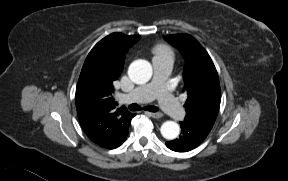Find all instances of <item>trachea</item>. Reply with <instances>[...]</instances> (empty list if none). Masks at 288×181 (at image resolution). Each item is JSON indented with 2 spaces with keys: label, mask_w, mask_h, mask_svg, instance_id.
I'll return each mask as SVG.
<instances>
[{
  "label": "trachea",
  "mask_w": 288,
  "mask_h": 181,
  "mask_svg": "<svg viewBox=\"0 0 288 181\" xmlns=\"http://www.w3.org/2000/svg\"><path fill=\"white\" fill-rule=\"evenodd\" d=\"M129 109L131 110V111H139V110H141L142 108L138 105V104H131V105H129ZM144 110H147V111H151V112H157V111H159V109H158V107H155V106H146L145 108H144Z\"/></svg>",
  "instance_id": "trachea-1"
}]
</instances>
